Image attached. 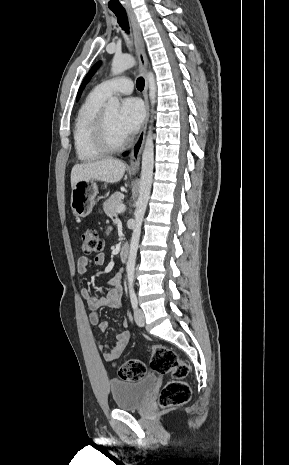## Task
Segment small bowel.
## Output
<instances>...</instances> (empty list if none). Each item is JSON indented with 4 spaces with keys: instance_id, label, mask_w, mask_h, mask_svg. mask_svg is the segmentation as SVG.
<instances>
[{
    "instance_id": "obj_1",
    "label": "small bowel",
    "mask_w": 289,
    "mask_h": 465,
    "mask_svg": "<svg viewBox=\"0 0 289 465\" xmlns=\"http://www.w3.org/2000/svg\"><path fill=\"white\" fill-rule=\"evenodd\" d=\"M105 263V255L97 254L93 258L89 256H81L77 263V272L80 276H85L90 265L102 266ZM82 296L86 300L91 314L89 321L92 325H96L100 331H105L109 323L100 321L97 311L101 307H111L115 309L122 308V274L116 273L107 283L106 291L101 296H94L90 290L84 288ZM127 320L123 319L122 326H127ZM130 338L128 330H122L116 335L115 342L112 345L105 344L102 341L98 342V348L102 352L103 358L111 363H114L123 353Z\"/></svg>"
}]
</instances>
